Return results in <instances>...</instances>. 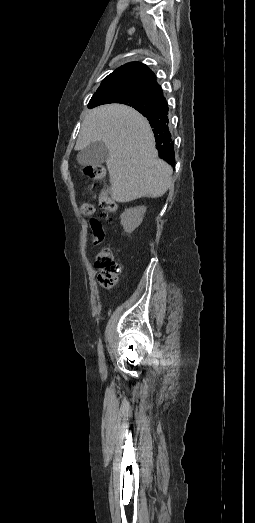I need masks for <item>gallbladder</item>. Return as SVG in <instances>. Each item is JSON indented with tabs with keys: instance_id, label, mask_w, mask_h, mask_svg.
Wrapping results in <instances>:
<instances>
[{
	"instance_id": "1",
	"label": "gallbladder",
	"mask_w": 255,
	"mask_h": 523,
	"mask_svg": "<svg viewBox=\"0 0 255 523\" xmlns=\"http://www.w3.org/2000/svg\"><path fill=\"white\" fill-rule=\"evenodd\" d=\"M109 158V150L104 142H91L89 146L80 150L77 156L81 166H101Z\"/></svg>"
}]
</instances>
